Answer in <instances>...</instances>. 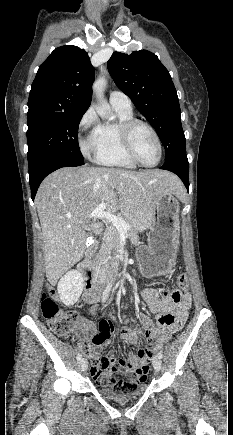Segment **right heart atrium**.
<instances>
[{"mask_svg": "<svg viewBox=\"0 0 233 435\" xmlns=\"http://www.w3.org/2000/svg\"><path fill=\"white\" fill-rule=\"evenodd\" d=\"M91 128H93L92 133L80 139V148L86 157H90L98 148L97 131L99 128V118L93 108H89L82 116L79 122V133L82 135Z\"/></svg>", "mask_w": 233, "mask_h": 435, "instance_id": "right-heart-atrium-1", "label": "right heart atrium"}]
</instances>
